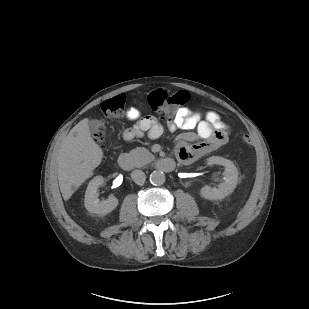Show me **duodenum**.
<instances>
[{
	"mask_svg": "<svg viewBox=\"0 0 309 309\" xmlns=\"http://www.w3.org/2000/svg\"><path fill=\"white\" fill-rule=\"evenodd\" d=\"M118 164L123 170L127 171L133 169L134 167L132 157L126 153H122L119 155ZM155 166L159 171L171 172L175 167V163L172 159L165 158L158 160Z\"/></svg>",
	"mask_w": 309,
	"mask_h": 309,
	"instance_id": "duodenum-1",
	"label": "duodenum"
}]
</instances>
